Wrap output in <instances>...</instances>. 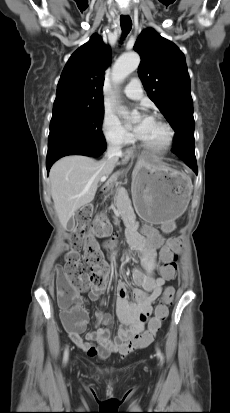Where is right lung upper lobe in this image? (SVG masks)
Segmentation results:
<instances>
[{
	"mask_svg": "<svg viewBox=\"0 0 230 413\" xmlns=\"http://www.w3.org/2000/svg\"><path fill=\"white\" fill-rule=\"evenodd\" d=\"M110 61L109 48L99 35H92L65 65L57 86L53 113L104 108L103 75Z\"/></svg>",
	"mask_w": 230,
	"mask_h": 413,
	"instance_id": "right-lung-upper-lobe-1",
	"label": "right lung upper lobe"
}]
</instances>
